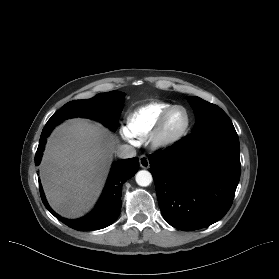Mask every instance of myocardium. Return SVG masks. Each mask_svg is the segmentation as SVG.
<instances>
[{"instance_id":"obj_1","label":"myocardium","mask_w":279,"mask_h":279,"mask_svg":"<svg viewBox=\"0 0 279 279\" xmlns=\"http://www.w3.org/2000/svg\"><path fill=\"white\" fill-rule=\"evenodd\" d=\"M180 109L185 114V124L183 128L174 136L167 137L164 134L165 123L168 116L174 111ZM191 126V116L189 111L182 105H172L162 112L153 129L149 133V139L153 146L157 148H171L180 143L188 134Z\"/></svg>"}]
</instances>
